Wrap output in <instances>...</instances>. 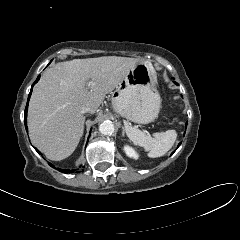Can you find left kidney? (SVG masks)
I'll use <instances>...</instances> for the list:
<instances>
[{"mask_svg": "<svg viewBox=\"0 0 240 240\" xmlns=\"http://www.w3.org/2000/svg\"><path fill=\"white\" fill-rule=\"evenodd\" d=\"M124 151H125L126 155L130 158L138 159V157H139L138 153L129 145L124 146Z\"/></svg>", "mask_w": 240, "mask_h": 240, "instance_id": "left-kidney-1", "label": "left kidney"}]
</instances>
